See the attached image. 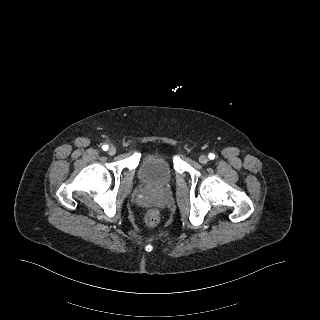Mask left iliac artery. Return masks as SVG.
<instances>
[{"instance_id": "1", "label": "left iliac artery", "mask_w": 320, "mask_h": 320, "mask_svg": "<svg viewBox=\"0 0 320 320\" xmlns=\"http://www.w3.org/2000/svg\"><path fill=\"white\" fill-rule=\"evenodd\" d=\"M208 157L209 159L213 160L215 158V155L213 153H209Z\"/></svg>"}]
</instances>
